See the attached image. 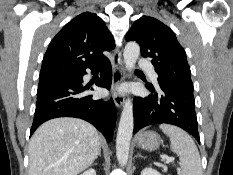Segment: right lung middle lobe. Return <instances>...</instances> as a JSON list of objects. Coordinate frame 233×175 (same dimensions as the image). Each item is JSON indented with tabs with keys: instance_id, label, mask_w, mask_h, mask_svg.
<instances>
[{
	"instance_id": "right-lung-middle-lobe-1",
	"label": "right lung middle lobe",
	"mask_w": 233,
	"mask_h": 175,
	"mask_svg": "<svg viewBox=\"0 0 233 175\" xmlns=\"http://www.w3.org/2000/svg\"><path fill=\"white\" fill-rule=\"evenodd\" d=\"M71 76L72 75L39 79V86L45 85V84L50 83V82L63 80V79L69 78Z\"/></svg>"
}]
</instances>
